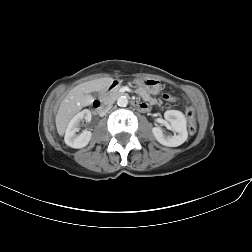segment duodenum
Segmentation results:
<instances>
[{
  "instance_id": "duodenum-1",
  "label": "duodenum",
  "mask_w": 252,
  "mask_h": 252,
  "mask_svg": "<svg viewBox=\"0 0 252 252\" xmlns=\"http://www.w3.org/2000/svg\"><path fill=\"white\" fill-rule=\"evenodd\" d=\"M118 83L116 81L112 82L106 89V92L107 94H109L110 92H112L113 90L116 89ZM134 105L138 108V109H143V105L142 103L138 102V101H135L134 102ZM93 110L96 112V113H101L104 111V107L102 105V103L97 100L93 103Z\"/></svg>"
}]
</instances>
